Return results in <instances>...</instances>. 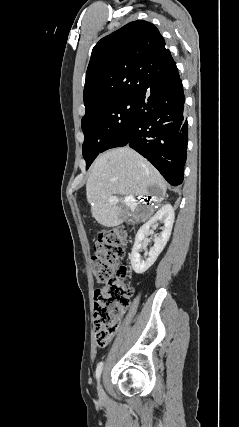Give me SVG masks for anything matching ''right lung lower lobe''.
Masks as SVG:
<instances>
[{
    "mask_svg": "<svg viewBox=\"0 0 239 427\" xmlns=\"http://www.w3.org/2000/svg\"><path fill=\"white\" fill-rule=\"evenodd\" d=\"M184 101L179 75L140 93L128 139L121 145H129L147 158L173 186L182 183L186 162L188 124Z\"/></svg>",
    "mask_w": 239,
    "mask_h": 427,
    "instance_id": "1",
    "label": "right lung lower lobe"
}]
</instances>
